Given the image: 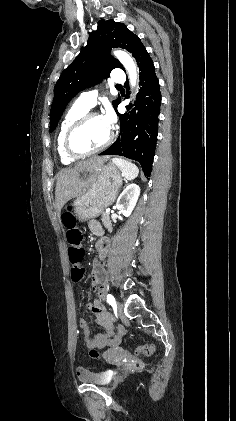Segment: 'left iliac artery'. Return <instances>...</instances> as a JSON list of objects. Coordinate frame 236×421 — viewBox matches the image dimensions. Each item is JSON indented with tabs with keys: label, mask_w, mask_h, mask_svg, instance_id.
I'll return each instance as SVG.
<instances>
[{
	"label": "left iliac artery",
	"mask_w": 236,
	"mask_h": 421,
	"mask_svg": "<svg viewBox=\"0 0 236 421\" xmlns=\"http://www.w3.org/2000/svg\"><path fill=\"white\" fill-rule=\"evenodd\" d=\"M107 302L111 305V306H116V301L113 295L108 294L107 295Z\"/></svg>",
	"instance_id": "44dca946"
}]
</instances>
